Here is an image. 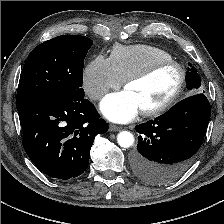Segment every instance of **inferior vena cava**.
<instances>
[{
  "mask_svg": "<svg viewBox=\"0 0 224 224\" xmlns=\"http://www.w3.org/2000/svg\"><path fill=\"white\" fill-rule=\"evenodd\" d=\"M103 95H104V92L103 91H96L95 93H93L91 95V98L92 99H100V98L103 97Z\"/></svg>",
  "mask_w": 224,
  "mask_h": 224,
  "instance_id": "inferior-vena-cava-1",
  "label": "inferior vena cava"
}]
</instances>
